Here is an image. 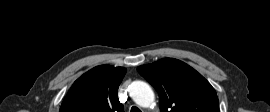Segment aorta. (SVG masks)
Here are the masks:
<instances>
[{"label": "aorta", "mask_w": 270, "mask_h": 112, "mask_svg": "<svg viewBox=\"0 0 270 112\" xmlns=\"http://www.w3.org/2000/svg\"><path fill=\"white\" fill-rule=\"evenodd\" d=\"M130 96L141 107H149L154 101V92L143 81H135L130 85Z\"/></svg>", "instance_id": "1"}]
</instances>
